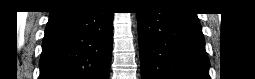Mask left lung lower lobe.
I'll return each instance as SVG.
<instances>
[{
	"mask_svg": "<svg viewBox=\"0 0 255 79\" xmlns=\"http://www.w3.org/2000/svg\"><path fill=\"white\" fill-rule=\"evenodd\" d=\"M137 13L142 79H209V61L196 14L161 6Z\"/></svg>",
	"mask_w": 255,
	"mask_h": 79,
	"instance_id": "left-lung-lower-lobe-1",
	"label": "left lung lower lobe"
}]
</instances>
